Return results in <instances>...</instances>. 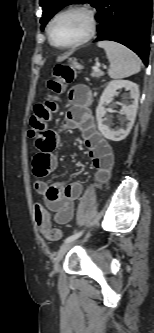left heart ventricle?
<instances>
[{"mask_svg": "<svg viewBox=\"0 0 154 333\" xmlns=\"http://www.w3.org/2000/svg\"><path fill=\"white\" fill-rule=\"evenodd\" d=\"M87 30L86 17L81 13H68L58 18L52 27L54 42L70 44L81 38Z\"/></svg>", "mask_w": 154, "mask_h": 333, "instance_id": "obj_1", "label": "left heart ventricle"}]
</instances>
